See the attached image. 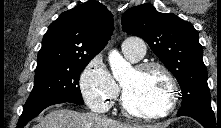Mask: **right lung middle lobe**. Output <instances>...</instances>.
Listing matches in <instances>:
<instances>
[{
    "instance_id": "1",
    "label": "right lung middle lobe",
    "mask_w": 221,
    "mask_h": 128,
    "mask_svg": "<svg viewBox=\"0 0 221 128\" xmlns=\"http://www.w3.org/2000/svg\"><path fill=\"white\" fill-rule=\"evenodd\" d=\"M91 61L77 60L63 66H53L35 71L34 87L24 108L56 99L83 104L79 77Z\"/></svg>"
}]
</instances>
